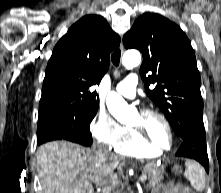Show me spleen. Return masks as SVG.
Instances as JSON below:
<instances>
[{
	"label": "spleen",
	"instance_id": "3e777b00",
	"mask_svg": "<svg viewBox=\"0 0 221 193\" xmlns=\"http://www.w3.org/2000/svg\"><path fill=\"white\" fill-rule=\"evenodd\" d=\"M185 176L190 181L191 186L201 192L205 188V172L195 161L187 160L186 163Z\"/></svg>",
	"mask_w": 221,
	"mask_h": 193
}]
</instances>
